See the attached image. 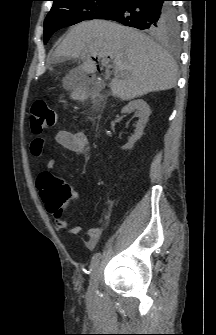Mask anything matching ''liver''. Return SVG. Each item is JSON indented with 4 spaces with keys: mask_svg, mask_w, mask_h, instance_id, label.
Wrapping results in <instances>:
<instances>
[{
    "mask_svg": "<svg viewBox=\"0 0 216 335\" xmlns=\"http://www.w3.org/2000/svg\"><path fill=\"white\" fill-rule=\"evenodd\" d=\"M92 57L112 59L115 67L110 88L113 96L122 100L176 85L174 59L150 37L111 21L91 20L72 27L53 53L57 61L64 58L82 60V64L66 76V89L79 87L87 74L95 73Z\"/></svg>",
    "mask_w": 216,
    "mask_h": 335,
    "instance_id": "6515ba94",
    "label": "liver"
}]
</instances>
